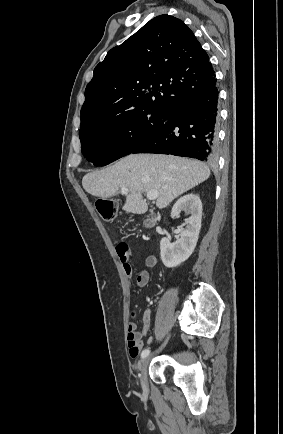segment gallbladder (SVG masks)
I'll use <instances>...</instances> for the list:
<instances>
[{
  "instance_id": "bac80fb5",
  "label": "gallbladder",
  "mask_w": 283,
  "mask_h": 434,
  "mask_svg": "<svg viewBox=\"0 0 283 434\" xmlns=\"http://www.w3.org/2000/svg\"><path fill=\"white\" fill-rule=\"evenodd\" d=\"M144 225L146 227H152L154 225V218H153V216L148 217L146 220H144Z\"/></svg>"
}]
</instances>
